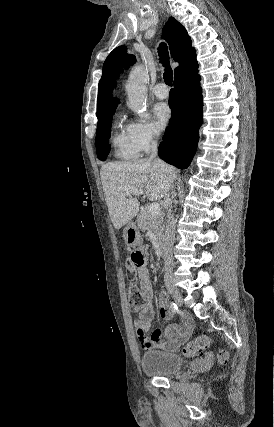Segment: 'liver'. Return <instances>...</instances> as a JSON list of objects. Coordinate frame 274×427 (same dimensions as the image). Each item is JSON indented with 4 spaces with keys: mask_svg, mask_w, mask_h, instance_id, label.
I'll return each instance as SVG.
<instances>
[{
    "mask_svg": "<svg viewBox=\"0 0 274 427\" xmlns=\"http://www.w3.org/2000/svg\"><path fill=\"white\" fill-rule=\"evenodd\" d=\"M100 178L110 219L120 229L138 214L140 206V196H125L126 190H144L143 200L148 196L156 202L172 188L177 170L162 160H125L104 164Z\"/></svg>",
    "mask_w": 274,
    "mask_h": 427,
    "instance_id": "6515ba94",
    "label": "liver"
}]
</instances>
